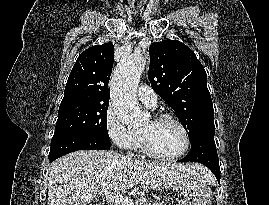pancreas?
<instances>
[{
    "mask_svg": "<svg viewBox=\"0 0 269 205\" xmlns=\"http://www.w3.org/2000/svg\"><path fill=\"white\" fill-rule=\"evenodd\" d=\"M135 201L137 203V205H166L164 203H149L148 200L146 198H143V197H139V196H136L135 197Z\"/></svg>",
    "mask_w": 269,
    "mask_h": 205,
    "instance_id": "obj_1",
    "label": "pancreas"
}]
</instances>
